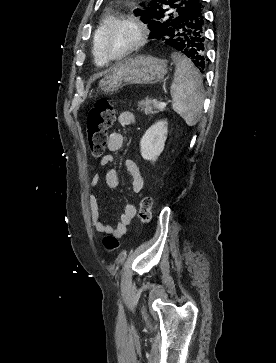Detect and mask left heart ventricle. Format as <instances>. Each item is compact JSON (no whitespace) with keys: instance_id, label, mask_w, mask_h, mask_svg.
<instances>
[{"instance_id":"left-heart-ventricle-1","label":"left heart ventricle","mask_w":276,"mask_h":363,"mask_svg":"<svg viewBox=\"0 0 276 363\" xmlns=\"http://www.w3.org/2000/svg\"><path fill=\"white\" fill-rule=\"evenodd\" d=\"M135 36L132 26L125 23L118 24L105 36V50L109 55L116 56L131 45Z\"/></svg>"}]
</instances>
